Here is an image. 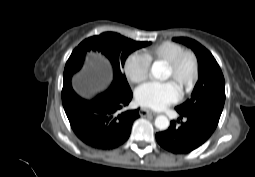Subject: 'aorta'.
<instances>
[{
  "mask_svg": "<svg viewBox=\"0 0 255 177\" xmlns=\"http://www.w3.org/2000/svg\"><path fill=\"white\" fill-rule=\"evenodd\" d=\"M151 75L156 79H164V69L159 64H153L151 68ZM170 125L169 119L164 116L160 115L157 116L155 119V127L159 130H166Z\"/></svg>",
  "mask_w": 255,
  "mask_h": 177,
  "instance_id": "obj_1",
  "label": "aorta"
}]
</instances>
